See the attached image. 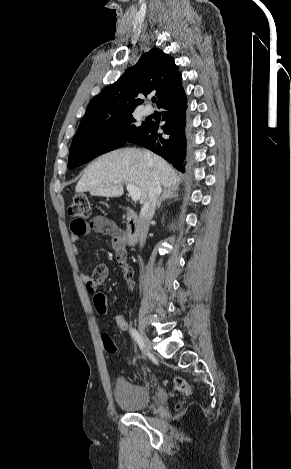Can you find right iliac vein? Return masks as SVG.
<instances>
[{
  "label": "right iliac vein",
  "instance_id": "obj_1",
  "mask_svg": "<svg viewBox=\"0 0 291 469\" xmlns=\"http://www.w3.org/2000/svg\"><path fill=\"white\" fill-rule=\"evenodd\" d=\"M140 336H141L143 344H144V352H145L146 355H148L151 351V347H150L149 340L146 336V333L142 329H140Z\"/></svg>",
  "mask_w": 291,
  "mask_h": 469
}]
</instances>
